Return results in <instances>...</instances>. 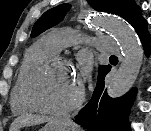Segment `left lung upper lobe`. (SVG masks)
<instances>
[{
	"instance_id": "1",
	"label": "left lung upper lobe",
	"mask_w": 151,
	"mask_h": 131,
	"mask_svg": "<svg viewBox=\"0 0 151 131\" xmlns=\"http://www.w3.org/2000/svg\"><path fill=\"white\" fill-rule=\"evenodd\" d=\"M89 3L95 10L119 15L129 23L140 11L135 0H89ZM69 9V4H61L46 11L34 24L31 36L35 37L58 24ZM105 67L101 66L98 72L100 73Z\"/></svg>"
}]
</instances>
